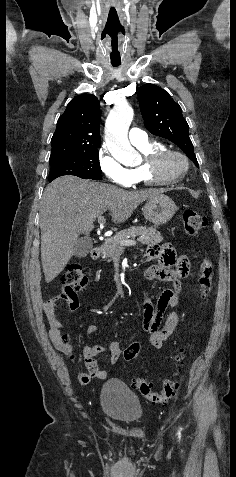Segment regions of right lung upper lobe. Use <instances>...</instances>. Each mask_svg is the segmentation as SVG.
Here are the masks:
<instances>
[{"instance_id": "right-lung-upper-lobe-1", "label": "right lung upper lobe", "mask_w": 236, "mask_h": 477, "mask_svg": "<svg viewBox=\"0 0 236 477\" xmlns=\"http://www.w3.org/2000/svg\"><path fill=\"white\" fill-rule=\"evenodd\" d=\"M99 101L94 95H79L67 105L51 139L50 161L97 148L100 145Z\"/></svg>"}]
</instances>
